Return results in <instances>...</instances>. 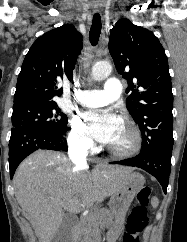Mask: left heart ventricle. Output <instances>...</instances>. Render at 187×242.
Listing matches in <instances>:
<instances>
[{"mask_svg": "<svg viewBox=\"0 0 187 242\" xmlns=\"http://www.w3.org/2000/svg\"><path fill=\"white\" fill-rule=\"evenodd\" d=\"M133 143L130 129L121 121L114 139L109 144L112 148L123 150L129 148Z\"/></svg>", "mask_w": 187, "mask_h": 242, "instance_id": "b2bd125f", "label": "left heart ventricle"}]
</instances>
